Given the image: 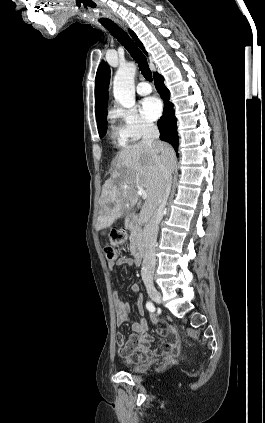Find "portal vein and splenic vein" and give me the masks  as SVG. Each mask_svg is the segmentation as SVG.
I'll return each mask as SVG.
<instances>
[{
    "label": "portal vein and splenic vein",
    "mask_w": 265,
    "mask_h": 423,
    "mask_svg": "<svg viewBox=\"0 0 265 423\" xmlns=\"http://www.w3.org/2000/svg\"><path fill=\"white\" fill-rule=\"evenodd\" d=\"M136 188H137V193H138V195H139L142 199H146V198H147V193H146V191H145L142 187H140L139 185H136Z\"/></svg>",
    "instance_id": "portal-vein-and-splenic-vein-1"
}]
</instances>
